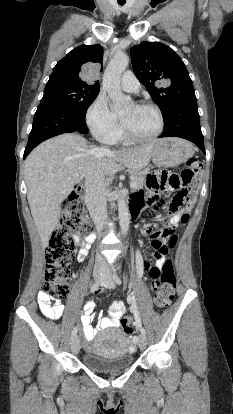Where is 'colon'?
<instances>
[{
	"label": "colon",
	"instance_id": "5ec220e1",
	"mask_svg": "<svg viewBox=\"0 0 233 414\" xmlns=\"http://www.w3.org/2000/svg\"><path fill=\"white\" fill-rule=\"evenodd\" d=\"M203 173V165L200 161L192 158L187 163V168L180 174L171 173L166 170H158L150 173L146 179L147 191L154 195L152 201L156 200L159 193H172L170 209L176 212L185 206L187 212L181 217V222L189 220V209L195 203L196 189L200 176ZM85 196L83 185H77L70 193L65 209L62 211L57 227L54 229L46 249V271L42 284L43 292L53 298L64 297L68 292V280L72 273L74 261V238L70 230L83 234L91 230L90 222L83 215L82 199ZM165 239L153 241L154 256L156 259L166 255L169 248H174L177 237L171 230L162 232ZM149 273L154 278V303L157 308H167L174 297L176 287V275L173 264L165 260L162 267H151ZM124 333L132 334L131 320H121Z\"/></svg>",
	"mask_w": 233,
	"mask_h": 414
}]
</instances>
